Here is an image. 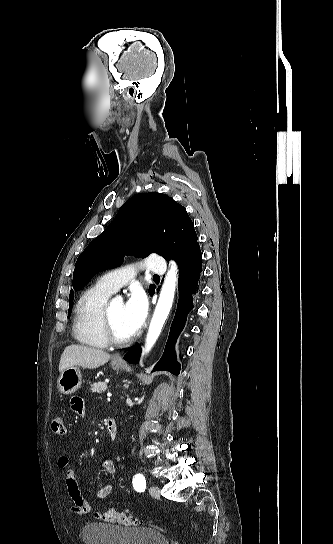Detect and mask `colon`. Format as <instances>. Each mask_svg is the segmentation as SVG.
I'll return each mask as SVG.
<instances>
[{"label":"colon","instance_id":"obj_1","mask_svg":"<svg viewBox=\"0 0 333 544\" xmlns=\"http://www.w3.org/2000/svg\"><path fill=\"white\" fill-rule=\"evenodd\" d=\"M51 429L57 435H65L67 433L65 422L61 417L53 418ZM96 516L98 519L106 522L119 523L127 526L139 523V520L131 512L118 511L113 507H109L105 511L98 513Z\"/></svg>","mask_w":333,"mask_h":544}]
</instances>
